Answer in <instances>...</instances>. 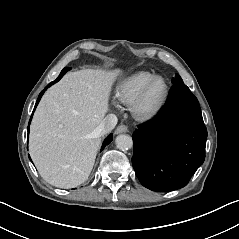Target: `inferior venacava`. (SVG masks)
I'll return each mask as SVG.
<instances>
[{"label": "inferior vena cava", "instance_id": "602c4592", "mask_svg": "<svg viewBox=\"0 0 239 239\" xmlns=\"http://www.w3.org/2000/svg\"><path fill=\"white\" fill-rule=\"evenodd\" d=\"M117 116L115 114H108L96 129L99 136H103L111 132L117 124Z\"/></svg>", "mask_w": 239, "mask_h": 239}]
</instances>
